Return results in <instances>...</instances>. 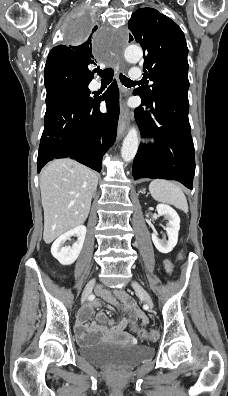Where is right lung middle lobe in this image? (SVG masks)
<instances>
[{
    "mask_svg": "<svg viewBox=\"0 0 228 396\" xmlns=\"http://www.w3.org/2000/svg\"><path fill=\"white\" fill-rule=\"evenodd\" d=\"M88 15L81 14L73 20L75 26L79 27L77 41L88 36L92 26ZM96 27L92 30L94 32ZM45 76V86L47 90L46 105L51 108L59 100L71 95H89V79L79 77L72 73L49 74Z\"/></svg>",
    "mask_w": 228,
    "mask_h": 396,
    "instance_id": "dd1d6c3e",
    "label": "right lung middle lobe"
}]
</instances>
